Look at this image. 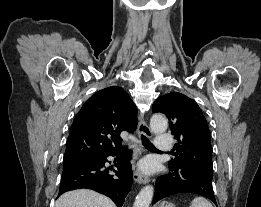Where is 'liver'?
Returning a JSON list of instances; mask_svg holds the SVG:
<instances>
[{
	"instance_id": "6515ba94",
	"label": "liver",
	"mask_w": 261,
	"mask_h": 207,
	"mask_svg": "<svg viewBox=\"0 0 261 207\" xmlns=\"http://www.w3.org/2000/svg\"><path fill=\"white\" fill-rule=\"evenodd\" d=\"M55 207H116L113 201L93 190L78 189L62 194Z\"/></svg>"
}]
</instances>
